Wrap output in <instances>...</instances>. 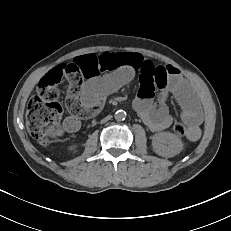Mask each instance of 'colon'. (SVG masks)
Returning <instances> with one entry per match:
<instances>
[{
	"label": "colon",
	"instance_id": "5ec220e1",
	"mask_svg": "<svg viewBox=\"0 0 231 231\" xmlns=\"http://www.w3.org/2000/svg\"><path fill=\"white\" fill-rule=\"evenodd\" d=\"M55 84L42 79L37 95L30 99L26 111L27 129L31 136L43 145L51 142L61 132L62 107L58 101L59 89ZM172 130L179 137L188 135L189 132L181 122H175Z\"/></svg>",
	"mask_w": 231,
	"mask_h": 231
}]
</instances>
